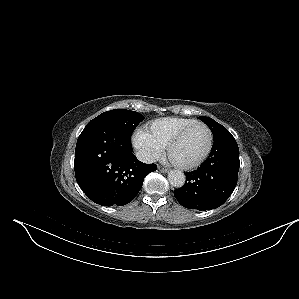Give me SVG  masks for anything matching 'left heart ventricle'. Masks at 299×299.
Wrapping results in <instances>:
<instances>
[{
	"label": "left heart ventricle",
	"mask_w": 299,
	"mask_h": 299,
	"mask_svg": "<svg viewBox=\"0 0 299 299\" xmlns=\"http://www.w3.org/2000/svg\"><path fill=\"white\" fill-rule=\"evenodd\" d=\"M208 140L209 135L206 128L197 126L172 148L171 156L180 163L194 162L206 150Z\"/></svg>",
	"instance_id": "obj_1"
}]
</instances>
